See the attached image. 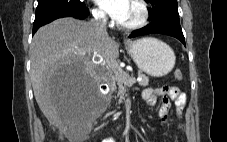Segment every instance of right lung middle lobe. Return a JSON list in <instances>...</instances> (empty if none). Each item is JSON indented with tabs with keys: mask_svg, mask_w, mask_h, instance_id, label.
<instances>
[{
	"mask_svg": "<svg viewBox=\"0 0 227 142\" xmlns=\"http://www.w3.org/2000/svg\"><path fill=\"white\" fill-rule=\"evenodd\" d=\"M85 7L83 0H38L36 14L64 8Z\"/></svg>",
	"mask_w": 227,
	"mask_h": 142,
	"instance_id": "obj_1",
	"label": "right lung middle lobe"
}]
</instances>
